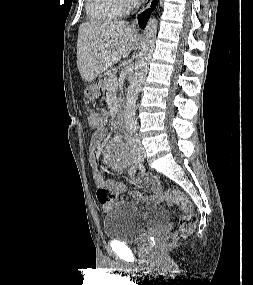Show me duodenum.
Masks as SVG:
<instances>
[{
    "label": "duodenum",
    "mask_w": 253,
    "mask_h": 285,
    "mask_svg": "<svg viewBox=\"0 0 253 285\" xmlns=\"http://www.w3.org/2000/svg\"><path fill=\"white\" fill-rule=\"evenodd\" d=\"M124 105L120 104L117 108L114 121H113V126L115 129H119L122 127L123 122H124Z\"/></svg>",
    "instance_id": "410a0bca"
}]
</instances>
